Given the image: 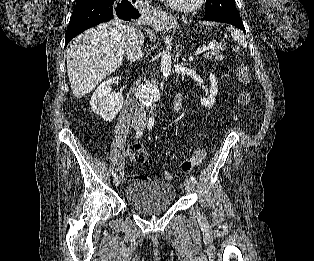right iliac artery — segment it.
<instances>
[{
  "mask_svg": "<svg viewBox=\"0 0 314 261\" xmlns=\"http://www.w3.org/2000/svg\"><path fill=\"white\" fill-rule=\"evenodd\" d=\"M143 135V131L139 130L136 132V138H140ZM112 175L115 177L116 176V172L112 171Z\"/></svg>",
  "mask_w": 314,
  "mask_h": 261,
  "instance_id": "obj_1",
  "label": "right iliac artery"
}]
</instances>
